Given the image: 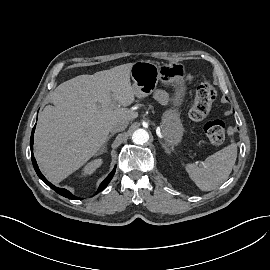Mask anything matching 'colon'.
<instances>
[{
    "label": "colon",
    "instance_id": "1",
    "mask_svg": "<svg viewBox=\"0 0 270 270\" xmlns=\"http://www.w3.org/2000/svg\"><path fill=\"white\" fill-rule=\"evenodd\" d=\"M215 88L208 82H200L195 93V99L189 111V118L194 122L203 120L210 112L216 98ZM204 132L208 141L218 145L224 141L225 125L221 120H210L204 125Z\"/></svg>",
    "mask_w": 270,
    "mask_h": 270
}]
</instances>
